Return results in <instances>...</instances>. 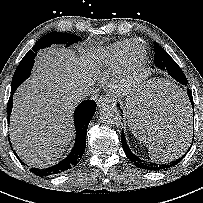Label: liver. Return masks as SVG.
I'll list each match as a JSON object with an SVG mask.
<instances>
[{
	"label": "liver",
	"instance_id": "1",
	"mask_svg": "<svg viewBox=\"0 0 203 203\" xmlns=\"http://www.w3.org/2000/svg\"><path fill=\"white\" fill-rule=\"evenodd\" d=\"M93 76L91 67L71 50L51 48L39 55L31 78L14 95L10 119L13 148L25 163L46 168L65 151L74 136V93L91 87ZM142 99L137 95L127 103L128 111L133 109L127 116L131 129L140 131L148 143L161 147L185 132L181 129L186 120L174 112L160 113L157 124L146 125L138 117Z\"/></svg>",
	"mask_w": 203,
	"mask_h": 203
}]
</instances>
